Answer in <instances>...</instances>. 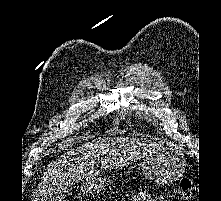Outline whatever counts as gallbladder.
Returning a JSON list of instances; mask_svg holds the SVG:
<instances>
[{
	"mask_svg": "<svg viewBox=\"0 0 221 201\" xmlns=\"http://www.w3.org/2000/svg\"><path fill=\"white\" fill-rule=\"evenodd\" d=\"M69 189L67 187H58L55 190L51 192L49 195V201H63V199L66 197L68 194Z\"/></svg>",
	"mask_w": 221,
	"mask_h": 201,
	"instance_id": "bac80fb5",
	"label": "gallbladder"
}]
</instances>
